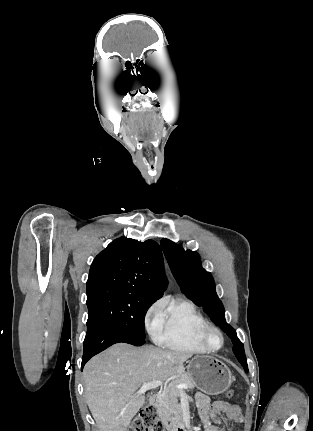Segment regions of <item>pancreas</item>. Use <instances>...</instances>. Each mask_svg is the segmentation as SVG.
<instances>
[{"label": "pancreas", "mask_w": 313, "mask_h": 431, "mask_svg": "<svg viewBox=\"0 0 313 431\" xmlns=\"http://www.w3.org/2000/svg\"><path fill=\"white\" fill-rule=\"evenodd\" d=\"M173 384H186L187 389H194L195 382L186 374L181 373L173 380V382L164 388L161 394L156 399V410L158 415L163 419L164 423L174 431L177 426L183 424L182 408L179 404L180 392L185 389H179Z\"/></svg>", "instance_id": "obj_1"}]
</instances>
